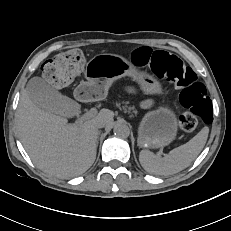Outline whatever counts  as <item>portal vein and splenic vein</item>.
Segmentation results:
<instances>
[{
  "instance_id": "portal-vein-and-splenic-vein-1",
  "label": "portal vein and splenic vein",
  "mask_w": 231,
  "mask_h": 231,
  "mask_svg": "<svg viewBox=\"0 0 231 231\" xmlns=\"http://www.w3.org/2000/svg\"><path fill=\"white\" fill-rule=\"evenodd\" d=\"M97 115V109L92 108L90 109L88 112L84 113L80 118H79V122H83L84 120L90 119L94 116Z\"/></svg>"
}]
</instances>
